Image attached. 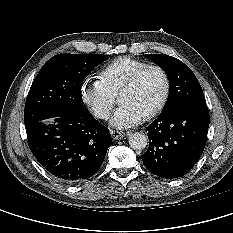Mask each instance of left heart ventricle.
Returning <instances> with one entry per match:
<instances>
[{"label": "left heart ventricle", "mask_w": 233, "mask_h": 233, "mask_svg": "<svg viewBox=\"0 0 233 233\" xmlns=\"http://www.w3.org/2000/svg\"><path fill=\"white\" fill-rule=\"evenodd\" d=\"M163 92L162 74L157 70H149L143 74L131 91L119 97V102L130 106L143 117L156 106Z\"/></svg>", "instance_id": "obj_1"}]
</instances>
